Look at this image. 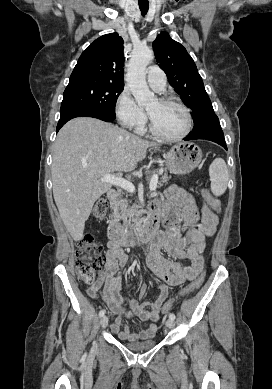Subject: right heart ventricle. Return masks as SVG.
<instances>
[{
	"label": "right heart ventricle",
	"mask_w": 272,
	"mask_h": 389,
	"mask_svg": "<svg viewBox=\"0 0 272 389\" xmlns=\"http://www.w3.org/2000/svg\"><path fill=\"white\" fill-rule=\"evenodd\" d=\"M144 130H145V128L142 127L141 129L138 130V132H139V133H142V132H144Z\"/></svg>",
	"instance_id": "1"
}]
</instances>
